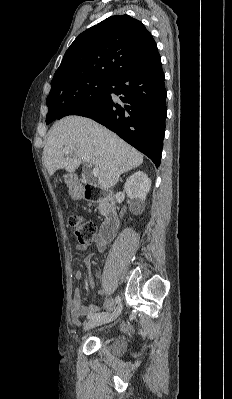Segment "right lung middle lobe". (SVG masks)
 <instances>
[{
    "label": "right lung middle lobe",
    "instance_id": "1",
    "mask_svg": "<svg viewBox=\"0 0 232 399\" xmlns=\"http://www.w3.org/2000/svg\"><path fill=\"white\" fill-rule=\"evenodd\" d=\"M109 83L110 79L90 80L79 83L63 93L48 95L46 124L56 120L62 113L99 101L105 95Z\"/></svg>",
    "mask_w": 232,
    "mask_h": 399
}]
</instances>
